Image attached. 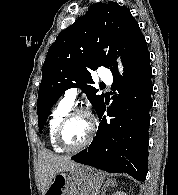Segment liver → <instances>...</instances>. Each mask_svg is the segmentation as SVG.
<instances>
[{
	"mask_svg": "<svg viewBox=\"0 0 178 195\" xmlns=\"http://www.w3.org/2000/svg\"><path fill=\"white\" fill-rule=\"evenodd\" d=\"M39 158V178L43 195L51 186L56 174L69 171L79 165L69 157L56 155L46 150L40 153Z\"/></svg>",
	"mask_w": 178,
	"mask_h": 195,
	"instance_id": "6515ba94",
	"label": "liver"
}]
</instances>
